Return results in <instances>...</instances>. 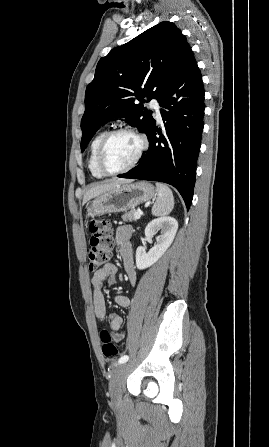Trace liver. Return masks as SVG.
Returning <instances> with one entry per match:
<instances>
[{
    "mask_svg": "<svg viewBox=\"0 0 269 447\" xmlns=\"http://www.w3.org/2000/svg\"><path fill=\"white\" fill-rule=\"evenodd\" d=\"M133 180H116V182H100V184H93L90 190H87L83 196L82 204H86L88 200H92V198H97V196H101L104 192H110L113 188H116L118 184H130Z\"/></svg>",
    "mask_w": 269,
    "mask_h": 447,
    "instance_id": "1",
    "label": "liver"
}]
</instances>
